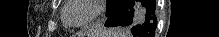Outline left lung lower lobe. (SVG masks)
Returning <instances> with one entry per match:
<instances>
[{
    "label": "left lung lower lobe",
    "instance_id": "1",
    "mask_svg": "<svg viewBox=\"0 0 219 37\" xmlns=\"http://www.w3.org/2000/svg\"><path fill=\"white\" fill-rule=\"evenodd\" d=\"M105 26H130L134 37H154L155 0H118Z\"/></svg>",
    "mask_w": 219,
    "mask_h": 37
}]
</instances>
